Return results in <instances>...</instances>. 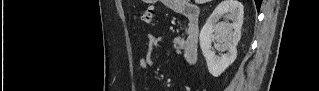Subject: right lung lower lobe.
I'll return each mask as SVG.
<instances>
[{
    "mask_svg": "<svg viewBox=\"0 0 319 91\" xmlns=\"http://www.w3.org/2000/svg\"><path fill=\"white\" fill-rule=\"evenodd\" d=\"M261 3H262V0H255V4L258 10L260 9Z\"/></svg>",
    "mask_w": 319,
    "mask_h": 91,
    "instance_id": "1",
    "label": "right lung lower lobe"
}]
</instances>
